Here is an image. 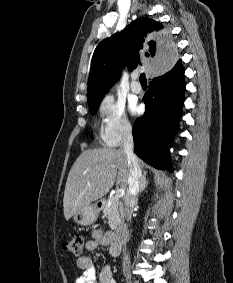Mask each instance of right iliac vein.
<instances>
[{"instance_id": "right-iliac-vein-1", "label": "right iliac vein", "mask_w": 233, "mask_h": 283, "mask_svg": "<svg viewBox=\"0 0 233 283\" xmlns=\"http://www.w3.org/2000/svg\"><path fill=\"white\" fill-rule=\"evenodd\" d=\"M126 280H127V283H133L129 276H127Z\"/></svg>"}]
</instances>
